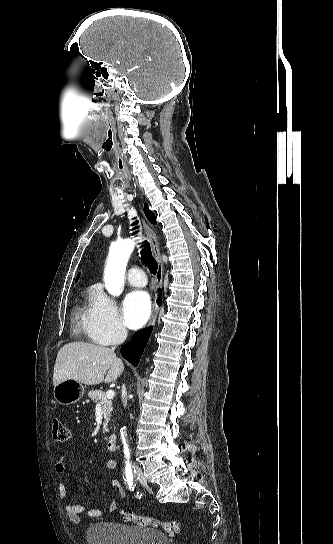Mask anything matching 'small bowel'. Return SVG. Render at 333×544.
<instances>
[{"instance_id":"obj_1","label":"small bowel","mask_w":333,"mask_h":544,"mask_svg":"<svg viewBox=\"0 0 333 544\" xmlns=\"http://www.w3.org/2000/svg\"><path fill=\"white\" fill-rule=\"evenodd\" d=\"M67 459H68V455H62L58 459V461L56 463V466H55L56 472L58 474H63L65 472L66 465H67ZM116 465H117V463H116V461L114 459H110V460H108L106 462V468L109 469V470L114 469L116 467ZM111 485H112L113 488H116L118 490L119 495L121 497L126 496L125 490L119 485V483L117 481H112ZM58 491H59V496H60L61 500L64 503L65 512H66L67 516L69 517V519L74 524H79L80 523V516L82 514H85L89 518H92V519L100 518L103 515V510L102 509H90V508H86L85 506H82V505L71 504L68 501L66 486L62 481H60L59 484H58ZM117 508H118L117 501L113 500L111 502L110 506H109V510L110 511H116Z\"/></svg>"}]
</instances>
